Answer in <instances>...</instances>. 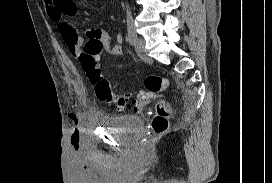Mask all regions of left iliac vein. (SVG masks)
Returning a JSON list of instances; mask_svg holds the SVG:
<instances>
[{"label":"left iliac vein","mask_w":272,"mask_h":183,"mask_svg":"<svg viewBox=\"0 0 272 183\" xmlns=\"http://www.w3.org/2000/svg\"><path fill=\"white\" fill-rule=\"evenodd\" d=\"M135 50L138 56L145 62L150 61L149 56L145 52V41L142 38H136L134 42Z\"/></svg>","instance_id":"1"}]
</instances>
